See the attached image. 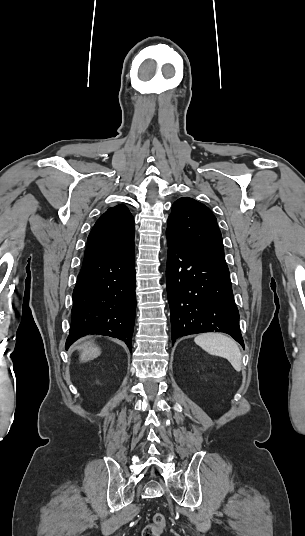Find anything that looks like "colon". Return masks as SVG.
Returning <instances> with one entry per match:
<instances>
[{"instance_id":"1","label":"colon","mask_w":305,"mask_h":536,"mask_svg":"<svg viewBox=\"0 0 305 536\" xmlns=\"http://www.w3.org/2000/svg\"><path fill=\"white\" fill-rule=\"evenodd\" d=\"M167 526L166 516L154 514L151 523L146 525L142 531V536H163Z\"/></svg>"}]
</instances>
